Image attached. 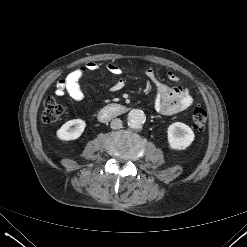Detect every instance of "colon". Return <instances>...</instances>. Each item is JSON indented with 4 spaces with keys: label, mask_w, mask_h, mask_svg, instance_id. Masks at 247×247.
<instances>
[{
    "label": "colon",
    "mask_w": 247,
    "mask_h": 247,
    "mask_svg": "<svg viewBox=\"0 0 247 247\" xmlns=\"http://www.w3.org/2000/svg\"><path fill=\"white\" fill-rule=\"evenodd\" d=\"M63 114V107L52 97H47L43 103L42 120L45 123L57 121ZM192 125L197 130H203L207 124L208 114L204 108L197 107L192 112Z\"/></svg>",
    "instance_id": "1"
}]
</instances>
